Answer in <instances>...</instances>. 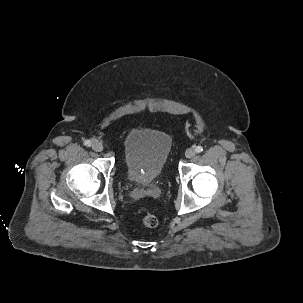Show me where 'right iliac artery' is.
<instances>
[{"label": "right iliac artery", "mask_w": 303, "mask_h": 303, "mask_svg": "<svg viewBox=\"0 0 303 303\" xmlns=\"http://www.w3.org/2000/svg\"><path fill=\"white\" fill-rule=\"evenodd\" d=\"M84 145L88 146V147L91 146V141L90 140H85Z\"/></svg>", "instance_id": "right-iliac-artery-1"}]
</instances>
